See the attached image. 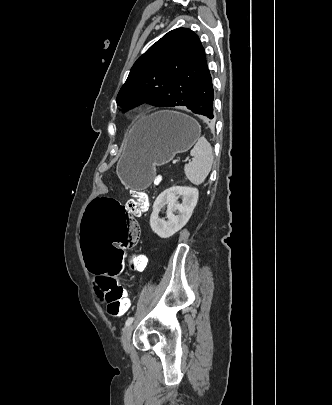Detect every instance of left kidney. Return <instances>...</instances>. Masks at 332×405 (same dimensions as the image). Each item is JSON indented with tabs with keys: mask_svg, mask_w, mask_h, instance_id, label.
I'll return each mask as SVG.
<instances>
[{
	"mask_svg": "<svg viewBox=\"0 0 332 405\" xmlns=\"http://www.w3.org/2000/svg\"><path fill=\"white\" fill-rule=\"evenodd\" d=\"M199 192L196 188L173 186L163 191L153 204L150 226L160 238H169L182 229L189 221L198 201ZM182 196V204L177 202ZM167 204V221L159 217L161 209ZM179 211V215L174 213Z\"/></svg>",
	"mask_w": 332,
	"mask_h": 405,
	"instance_id": "obj_1",
	"label": "left kidney"
}]
</instances>
